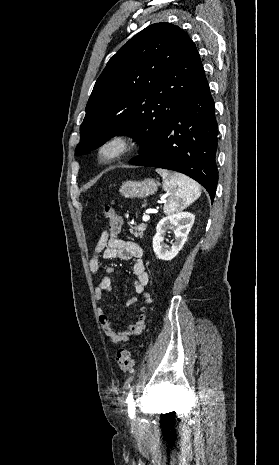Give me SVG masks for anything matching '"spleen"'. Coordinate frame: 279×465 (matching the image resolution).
I'll return each mask as SVG.
<instances>
[{"instance_id":"1","label":"spleen","mask_w":279,"mask_h":465,"mask_svg":"<svg viewBox=\"0 0 279 465\" xmlns=\"http://www.w3.org/2000/svg\"><path fill=\"white\" fill-rule=\"evenodd\" d=\"M156 171L162 176L163 188L169 196L163 207L165 214L178 212L200 197V186L189 177L180 173H170L164 169Z\"/></svg>"}]
</instances>
